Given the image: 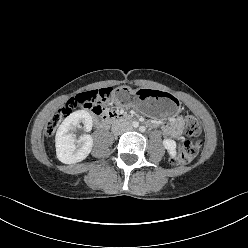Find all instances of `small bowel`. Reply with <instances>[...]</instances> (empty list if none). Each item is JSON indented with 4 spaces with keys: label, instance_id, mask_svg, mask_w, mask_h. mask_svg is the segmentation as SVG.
I'll return each instance as SVG.
<instances>
[{
    "label": "small bowel",
    "instance_id": "small-bowel-1",
    "mask_svg": "<svg viewBox=\"0 0 248 248\" xmlns=\"http://www.w3.org/2000/svg\"><path fill=\"white\" fill-rule=\"evenodd\" d=\"M161 128L163 132L170 137H179L182 133L183 119L179 117L171 122H164L161 125Z\"/></svg>",
    "mask_w": 248,
    "mask_h": 248
}]
</instances>
